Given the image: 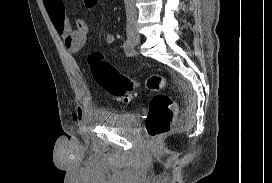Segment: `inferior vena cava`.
<instances>
[{
	"label": "inferior vena cava",
	"mask_w": 272,
	"mask_h": 183,
	"mask_svg": "<svg viewBox=\"0 0 272 183\" xmlns=\"http://www.w3.org/2000/svg\"><path fill=\"white\" fill-rule=\"evenodd\" d=\"M126 8L127 31L135 28L137 20V10L135 0H124Z\"/></svg>",
	"instance_id": "602c4592"
}]
</instances>
